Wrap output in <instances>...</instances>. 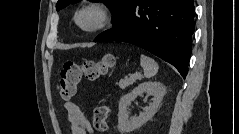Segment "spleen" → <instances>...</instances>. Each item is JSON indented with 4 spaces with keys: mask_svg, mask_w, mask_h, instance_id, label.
Masks as SVG:
<instances>
[{
    "mask_svg": "<svg viewBox=\"0 0 239 134\" xmlns=\"http://www.w3.org/2000/svg\"><path fill=\"white\" fill-rule=\"evenodd\" d=\"M140 64L144 70L145 78H151L157 74L159 66L153 58L142 54Z\"/></svg>",
    "mask_w": 239,
    "mask_h": 134,
    "instance_id": "spleen-1",
    "label": "spleen"
}]
</instances>
